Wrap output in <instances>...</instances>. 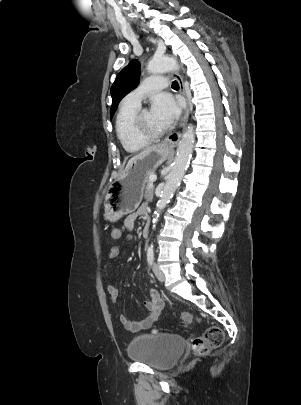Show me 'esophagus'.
<instances>
[{"label": "esophagus", "mask_w": 301, "mask_h": 405, "mask_svg": "<svg viewBox=\"0 0 301 405\" xmlns=\"http://www.w3.org/2000/svg\"><path fill=\"white\" fill-rule=\"evenodd\" d=\"M175 78L179 84L180 91H181L182 95L184 96L185 102H186L185 111H184V114H183V116L181 118V122H180L181 129H184L186 126L187 120H188V116H189V99H188V96L186 93V89H185V85H184L182 76L179 73H175ZM181 135H182L181 132H175V133L168 135L165 138V140L163 141L162 145L167 148L176 147L181 138Z\"/></svg>", "instance_id": "1"}]
</instances>
